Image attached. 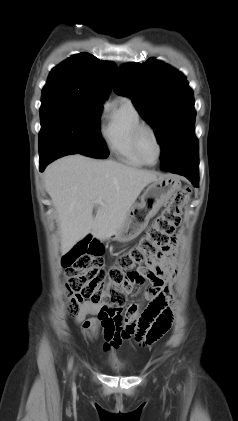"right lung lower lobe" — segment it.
I'll list each match as a JSON object with an SVG mask.
<instances>
[{
	"instance_id": "right-lung-lower-lobe-1",
	"label": "right lung lower lobe",
	"mask_w": 238,
	"mask_h": 421,
	"mask_svg": "<svg viewBox=\"0 0 238 421\" xmlns=\"http://www.w3.org/2000/svg\"><path fill=\"white\" fill-rule=\"evenodd\" d=\"M69 154H77V152L71 147L59 144L48 147L44 152L40 153V171H43L53 160Z\"/></svg>"
}]
</instances>
